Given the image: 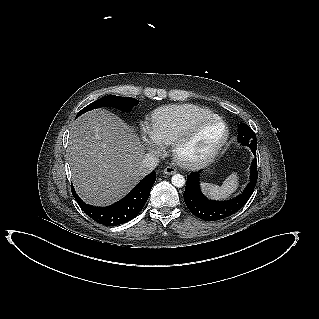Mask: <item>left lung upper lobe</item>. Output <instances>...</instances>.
<instances>
[{"mask_svg": "<svg viewBox=\"0 0 319 319\" xmlns=\"http://www.w3.org/2000/svg\"><path fill=\"white\" fill-rule=\"evenodd\" d=\"M238 141L241 142L242 145L250 147H257V139L255 133L252 129L241 123L238 127Z\"/></svg>", "mask_w": 319, "mask_h": 319, "instance_id": "left-lung-upper-lobe-1", "label": "left lung upper lobe"}]
</instances>
